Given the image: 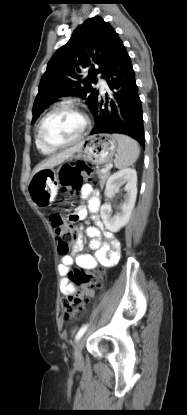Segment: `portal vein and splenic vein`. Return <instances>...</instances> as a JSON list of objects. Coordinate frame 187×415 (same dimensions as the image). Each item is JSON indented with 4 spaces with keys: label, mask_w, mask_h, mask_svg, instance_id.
Returning <instances> with one entry per match:
<instances>
[{
    "label": "portal vein and splenic vein",
    "mask_w": 187,
    "mask_h": 415,
    "mask_svg": "<svg viewBox=\"0 0 187 415\" xmlns=\"http://www.w3.org/2000/svg\"><path fill=\"white\" fill-rule=\"evenodd\" d=\"M112 167V165L110 164V165H108L107 167H105V168H103V169H101L100 170V173H107L109 170H110V168Z\"/></svg>",
    "instance_id": "portal-vein-and-splenic-vein-1"
}]
</instances>
